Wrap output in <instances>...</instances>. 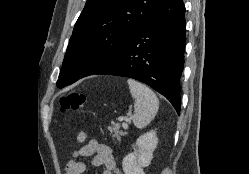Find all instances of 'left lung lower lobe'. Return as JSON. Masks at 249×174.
<instances>
[{
	"instance_id": "left-lung-lower-lobe-1",
	"label": "left lung lower lobe",
	"mask_w": 249,
	"mask_h": 174,
	"mask_svg": "<svg viewBox=\"0 0 249 174\" xmlns=\"http://www.w3.org/2000/svg\"><path fill=\"white\" fill-rule=\"evenodd\" d=\"M185 33L183 1L162 0L123 52L96 74L144 82L165 96L180 114Z\"/></svg>"
}]
</instances>
